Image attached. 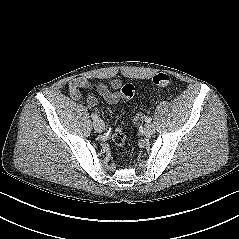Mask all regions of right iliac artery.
Wrapping results in <instances>:
<instances>
[{
    "instance_id": "right-iliac-artery-1",
    "label": "right iliac artery",
    "mask_w": 239,
    "mask_h": 239,
    "mask_svg": "<svg viewBox=\"0 0 239 239\" xmlns=\"http://www.w3.org/2000/svg\"><path fill=\"white\" fill-rule=\"evenodd\" d=\"M91 117H92V119H93L94 121L99 120L98 116H97L96 114H94V113L91 115Z\"/></svg>"
}]
</instances>
